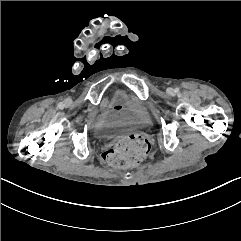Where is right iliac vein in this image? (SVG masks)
I'll use <instances>...</instances> for the list:
<instances>
[{
	"instance_id": "right-iliac-vein-1",
	"label": "right iliac vein",
	"mask_w": 241,
	"mask_h": 241,
	"mask_svg": "<svg viewBox=\"0 0 241 241\" xmlns=\"http://www.w3.org/2000/svg\"><path fill=\"white\" fill-rule=\"evenodd\" d=\"M70 103H71V100L70 99H66L65 105L68 106Z\"/></svg>"
}]
</instances>
